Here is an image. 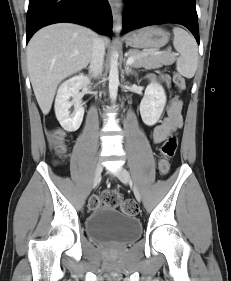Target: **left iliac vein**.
<instances>
[{
    "label": "left iliac vein",
    "mask_w": 231,
    "mask_h": 281,
    "mask_svg": "<svg viewBox=\"0 0 231 281\" xmlns=\"http://www.w3.org/2000/svg\"><path fill=\"white\" fill-rule=\"evenodd\" d=\"M117 177L120 179L121 182H123L124 184H132V180H131V176L129 174V172L121 167L117 172ZM133 192L135 195V198L137 199V201H141V194L139 189L136 186H133Z\"/></svg>",
    "instance_id": "4c4485c4"
}]
</instances>
